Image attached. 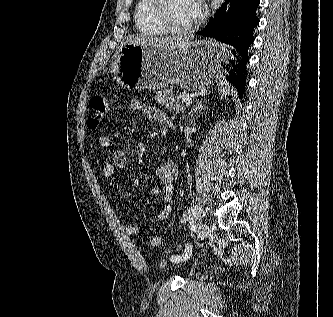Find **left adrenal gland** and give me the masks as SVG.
<instances>
[{"label": "left adrenal gland", "mask_w": 333, "mask_h": 317, "mask_svg": "<svg viewBox=\"0 0 333 317\" xmlns=\"http://www.w3.org/2000/svg\"><path fill=\"white\" fill-rule=\"evenodd\" d=\"M203 101H198L196 102V104L194 105V107L190 110V112L187 115V119L193 115V113H195L196 111H200L202 109H205L206 107L202 105Z\"/></svg>", "instance_id": "obj_1"}]
</instances>
